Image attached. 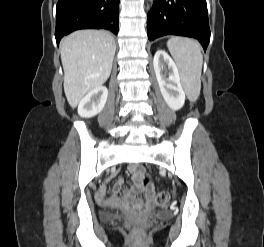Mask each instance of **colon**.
Returning <instances> with one entry per match:
<instances>
[{
	"label": "colon",
	"mask_w": 264,
	"mask_h": 247,
	"mask_svg": "<svg viewBox=\"0 0 264 247\" xmlns=\"http://www.w3.org/2000/svg\"><path fill=\"white\" fill-rule=\"evenodd\" d=\"M142 184L143 186L147 187L150 184V181L148 178H144L142 180ZM170 200V194L167 191H160L156 194L155 196V202L158 205H165L169 202Z\"/></svg>",
	"instance_id": "1"
}]
</instances>
